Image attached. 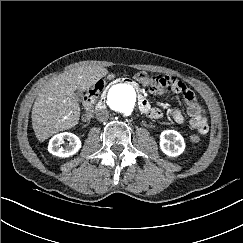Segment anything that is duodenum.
<instances>
[{"mask_svg": "<svg viewBox=\"0 0 243 243\" xmlns=\"http://www.w3.org/2000/svg\"><path fill=\"white\" fill-rule=\"evenodd\" d=\"M137 100H138V105L140 110L145 114H149L151 112V107L148 101L145 99V97L142 96L141 94H138ZM105 106H106V97L105 95H103L96 105V110L97 111L103 110Z\"/></svg>", "mask_w": 243, "mask_h": 243, "instance_id": "410a0bca", "label": "duodenum"}]
</instances>
